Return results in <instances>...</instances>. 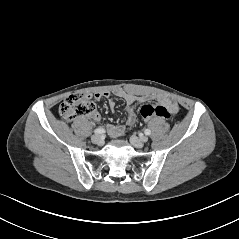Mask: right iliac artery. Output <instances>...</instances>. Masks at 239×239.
<instances>
[{"label": "right iliac artery", "mask_w": 239, "mask_h": 239, "mask_svg": "<svg viewBox=\"0 0 239 239\" xmlns=\"http://www.w3.org/2000/svg\"><path fill=\"white\" fill-rule=\"evenodd\" d=\"M94 133L95 134H103V133H105V130L103 128H97L94 130Z\"/></svg>", "instance_id": "82829eb1"}]
</instances>
